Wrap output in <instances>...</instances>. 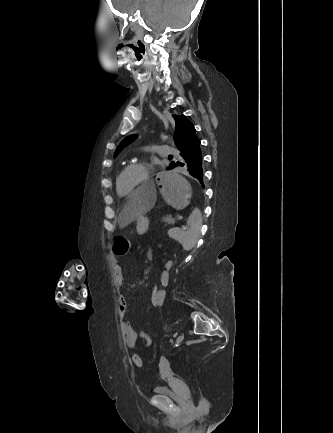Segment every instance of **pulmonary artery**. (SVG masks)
Here are the masks:
<instances>
[{
	"mask_svg": "<svg viewBox=\"0 0 333 433\" xmlns=\"http://www.w3.org/2000/svg\"><path fill=\"white\" fill-rule=\"evenodd\" d=\"M158 150H159L160 153H164V154L172 153L173 152V150L171 148L167 147V146H161V147L158 148Z\"/></svg>",
	"mask_w": 333,
	"mask_h": 433,
	"instance_id": "pulmonary-artery-1",
	"label": "pulmonary artery"
}]
</instances>
